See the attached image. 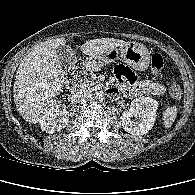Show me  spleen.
<instances>
[{
    "mask_svg": "<svg viewBox=\"0 0 195 195\" xmlns=\"http://www.w3.org/2000/svg\"><path fill=\"white\" fill-rule=\"evenodd\" d=\"M178 109L176 106L167 107L163 111V124L165 128H170L176 119Z\"/></svg>",
    "mask_w": 195,
    "mask_h": 195,
    "instance_id": "spleen-1",
    "label": "spleen"
}]
</instances>
